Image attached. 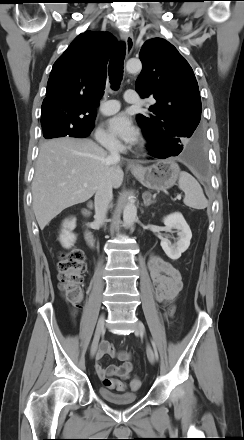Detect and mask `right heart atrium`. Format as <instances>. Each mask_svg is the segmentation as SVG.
<instances>
[{"label": "right heart atrium", "mask_w": 244, "mask_h": 440, "mask_svg": "<svg viewBox=\"0 0 244 440\" xmlns=\"http://www.w3.org/2000/svg\"><path fill=\"white\" fill-rule=\"evenodd\" d=\"M97 141L104 147H117L119 142L111 134H109L105 129L99 128L96 132Z\"/></svg>", "instance_id": "1"}]
</instances>
